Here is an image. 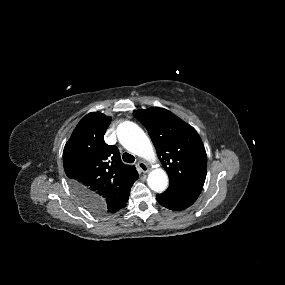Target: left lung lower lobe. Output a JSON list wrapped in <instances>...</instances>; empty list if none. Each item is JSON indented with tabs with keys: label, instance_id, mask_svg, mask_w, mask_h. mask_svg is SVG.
Instances as JSON below:
<instances>
[{
	"label": "left lung lower lobe",
	"instance_id": "1",
	"mask_svg": "<svg viewBox=\"0 0 285 285\" xmlns=\"http://www.w3.org/2000/svg\"><path fill=\"white\" fill-rule=\"evenodd\" d=\"M200 193L199 189L170 183L168 189L157 194L156 198L162 206L168 209L183 210L191 206Z\"/></svg>",
	"mask_w": 285,
	"mask_h": 285
}]
</instances>
